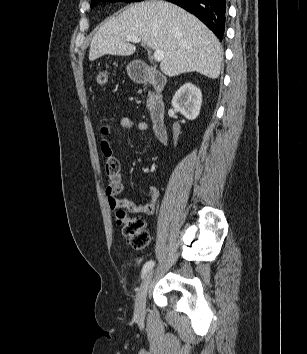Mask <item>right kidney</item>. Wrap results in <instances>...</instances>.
I'll list each match as a JSON object with an SVG mask.
<instances>
[{
    "label": "right kidney",
    "mask_w": 307,
    "mask_h": 354,
    "mask_svg": "<svg viewBox=\"0 0 307 354\" xmlns=\"http://www.w3.org/2000/svg\"><path fill=\"white\" fill-rule=\"evenodd\" d=\"M202 93L194 84L187 82L175 93L172 106L189 120H194L200 113Z\"/></svg>",
    "instance_id": "1"
}]
</instances>
